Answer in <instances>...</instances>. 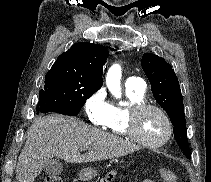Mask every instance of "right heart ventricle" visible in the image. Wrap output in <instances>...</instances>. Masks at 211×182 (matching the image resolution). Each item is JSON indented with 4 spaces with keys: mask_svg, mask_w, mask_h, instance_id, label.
I'll return each instance as SVG.
<instances>
[{
    "mask_svg": "<svg viewBox=\"0 0 211 182\" xmlns=\"http://www.w3.org/2000/svg\"><path fill=\"white\" fill-rule=\"evenodd\" d=\"M126 96L129 100L128 106L112 105L111 112L103 127L119 136L130 137L128 133L127 117L132 105L145 101L144 92L126 88Z\"/></svg>",
    "mask_w": 211,
    "mask_h": 182,
    "instance_id": "e07e8e85",
    "label": "right heart ventricle"
}]
</instances>
